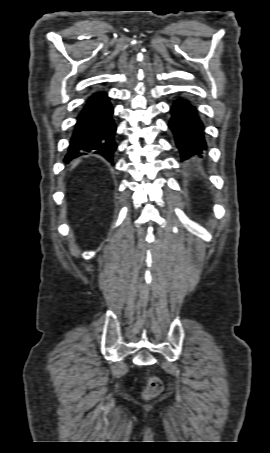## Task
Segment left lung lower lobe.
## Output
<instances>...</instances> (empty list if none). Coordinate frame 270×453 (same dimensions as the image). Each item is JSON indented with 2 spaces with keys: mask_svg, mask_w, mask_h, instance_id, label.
Segmentation results:
<instances>
[{
  "mask_svg": "<svg viewBox=\"0 0 270 453\" xmlns=\"http://www.w3.org/2000/svg\"><path fill=\"white\" fill-rule=\"evenodd\" d=\"M171 113L169 127L173 131L181 156L186 158L205 150L207 146L204 138V124L196 107L188 100L180 98L174 102Z\"/></svg>",
  "mask_w": 270,
  "mask_h": 453,
  "instance_id": "left-lung-lower-lobe-1",
  "label": "left lung lower lobe"
}]
</instances>
